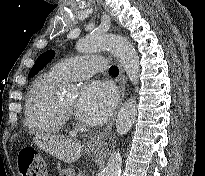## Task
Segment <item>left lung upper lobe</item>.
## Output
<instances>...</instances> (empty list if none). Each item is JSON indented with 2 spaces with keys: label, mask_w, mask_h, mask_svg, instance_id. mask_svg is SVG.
<instances>
[{
  "label": "left lung upper lobe",
  "mask_w": 205,
  "mask_h": 176,
  "mask_svg": "<svg viewBox=\"0 0 205 176\" xmlns=\"http://www.w3.org/2000/svg\"><path fill=\"white\" fill-rule=\"evenodd\" d=\"M53 57H54V52L52 50H48L45 53L41 54L37 58L34 66L31 68L28 77L32 76L33 74L41 70Z\"/></svg>",
  "instance_id": "5c2ea615"
}]
</instances>
